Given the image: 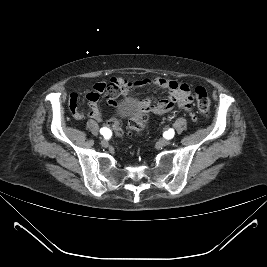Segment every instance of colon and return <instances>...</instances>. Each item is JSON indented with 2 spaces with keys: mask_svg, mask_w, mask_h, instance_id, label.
Segmentation results:
<instances>
[{
  "mask_svg": "<svg viewBox=\"0 0 267 267\" xmlns=\"http://www.w3.org/2000/svg\"><path fill=\"white\" fill-rule=\"evenodd\" d=\"M196 106L201 113H207L210 109V98L206 89L202 86H198L195 89ZM148 119V114L144 110L133 117L129 121V130L132 133H140L144 130L145 122ZM108 127H110L116 135H121L120 121L117 117H112L108 121Z\"/></svg>",
  "mask_w": 267,
  "mask_h": 267,
  "instance_id": "5ec220e1",
  "label": "colon"
}]
</instances>
